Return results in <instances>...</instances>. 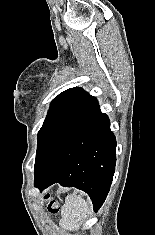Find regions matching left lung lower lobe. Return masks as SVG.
Listing matches in <instances>:
<instances>
[{
    "instance_id": "0a47b994",
    "label": "left lung lower lobe",
    "mask_w": 155,
    "mask_h": 235,
    "mask_svg": "<svg viewBox=\"0 0 155 235\" xmlns=\"http://www.w3.org/2000/svg\"><path fill=\"white\" fill-rule=\"evenodd\" d=\"M116 140L99 105L49 155L34 176L41 191L54 183L89 194L97 211L109 192L116 163Z\"/></svg>"
}]
</instances>
